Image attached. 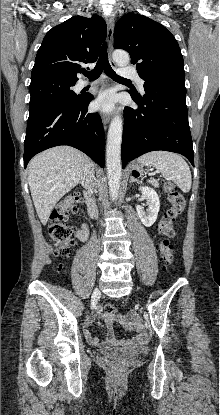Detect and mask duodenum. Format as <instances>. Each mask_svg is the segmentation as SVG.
I'll return each instance as SVG.
<instances>
[{"instance_id": "410a0bca", "label": "duodenum", "mask_w": 220, "mask_h": 415, "mask_svg": "<svg viewBox=\"0 0 220 415\" xmlns=\"http://www.w3.org/2000/svg\"><path fill=\"white\" fill-rule=\"evenodd\" d=\"M85 195H86V204H87L88 213L91 218H96L98 215V206L96 202L94 201V199L92 198V195L90 192H86Z\"/></svg>"}]
</instances>
